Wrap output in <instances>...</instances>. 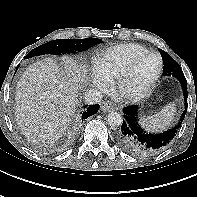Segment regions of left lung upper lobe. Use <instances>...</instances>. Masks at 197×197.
<instances>
[{
  "label": "left lung upper lobe",
  "instance_id": "obj_1",
  "mask_svg": "<svg viewBox=\"0 0 197 197\" xmlns=\"http://www.w3.org/2000/svg\"><path fill=\"white\" fill-rule=\"evenodd\" d=\"M159 51L164 63L163 75L164 76L172 75L176 77L179 81L186 80L179 64L165 51L163 50H159Z\"/></svg>",
  "mask_w": 197,
  "mask_h": 197
}]
</instances>
